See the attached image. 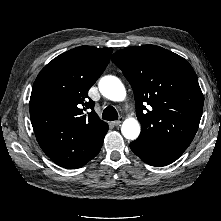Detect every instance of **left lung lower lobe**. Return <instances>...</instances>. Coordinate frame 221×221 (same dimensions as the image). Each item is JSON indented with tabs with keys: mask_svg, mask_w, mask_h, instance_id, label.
<instances>
[{
	"mask_svg": "<svg viewBox=\"0 0 221 221\" xmlns=\"http://www.w3.org/2000/svg\"><path fill=\"white\" fill-rule=\"evenodd\" d=\"M130 148L143 161L157 167L174 162L185 151L171 146L139 140L130 143Z\"/></svg>",
	"mask_w": 221,
	"mask_h": 221,
	"instance_id": "0a47b994",
	"label": "left lung lower lobe"
}]
</instances>
